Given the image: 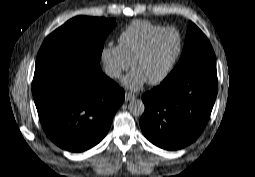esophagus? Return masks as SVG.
Segmentation results:
<instances>
[{
  "label": "esophagus",
  "mask_w": 255,
  "mask_h": 177,
  "mask_svg": "<svg viewBox=\"0 0 255 177\" xmlns=\"http://www.w3.org/2000/svg\"><path fill=\"white\" fill-rule=\"evenodd\" d=\"M135 98V95L131 94V93H128L126 92L125 93V101L128 102L130 101L131 99H134Z\"/></svg>",
  "instance_id": "34e87169"
}]
</instances>
